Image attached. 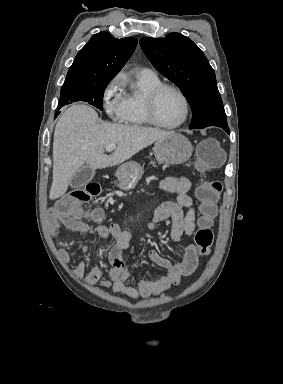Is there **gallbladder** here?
Listing matches in <instances>:
<instances>
[{"mask_svg": "<svg viewBox=\"0 0 283 384\" xmlns=\"http://www.w3.org/2000/svg\"><path fill=\"white\" fill-rule=\"evenodd\" d=\"M94 170H90V168H86V166H82L74 176H72L70 180V188H82L85 186L91 178H93Z\"/></svg>", "mask_w": 283, "mask_h": 384, "instance_id": "bac80fb5", "label": "gallbladder"}]
</instances>
